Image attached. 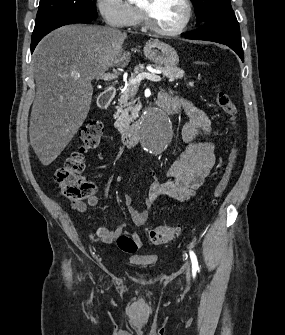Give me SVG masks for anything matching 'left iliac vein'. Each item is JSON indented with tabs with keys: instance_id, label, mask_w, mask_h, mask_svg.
I'll return each mask as SVG.
<instances>
[{
	"instance_id": "1",
	"label": "left iliac vein",
	"mask_w": 285,
	"mask_h": 335,
	"mask_svg": "<svg viewBox=\"0 0 285 335\" xmlns=\"http://www.w3.org/2000/svg\"><path fill=\"white\" fill-rule=\"evenodd\" d=\"M186 277H187V279H189V268H187Z\"/></svg>"
}]
</instances>
